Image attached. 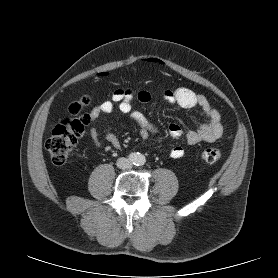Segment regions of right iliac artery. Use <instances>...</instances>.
<instances>
[{
  "label": "right iliac artery",
  "mask_w": 278,
  "mask_h": 278,
  "mask_svg": "<svg viewBox=\"0 0 278 278\" xmlns=\"http://www.w3.org/2000/svg\"><path fill=\"white\" fill-rule=\"evenodd\" d=\"M136 160V155L135 154H131L130 155V161H135Z\"/></svg>",
  "instance_id": "82829eb1"
}]
</instances>
